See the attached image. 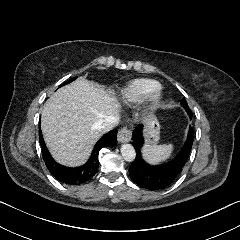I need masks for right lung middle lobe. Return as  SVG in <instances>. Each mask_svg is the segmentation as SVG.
<instances>
[{
  "instance_id": "1",
  "label": "right lung middle lobe",
  "mask_w": 240,
  "mask_h": 240,
  "mask_svg": "<svg viewBox=\"0 0 240 240\" xmlns=\"http://www.w3.org/2000/svg\"><path fill=\"white\" fill-rule=\"evenodd\" d=\"M76 78H77V77H75V78H72V79L68 80V81H67V82H65L63 85H66V84H68V83H70V82L74 81Z\"/></svg>"
}]
</instances>
